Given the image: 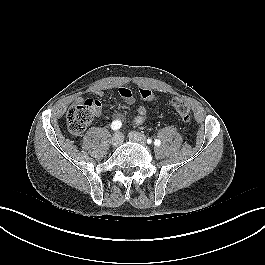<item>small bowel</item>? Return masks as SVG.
<instances>
[{
  "label": "small bowel",
  "instance_id": "small-bowel-1",
  "mask_svg": "<svg viewBox=\"0 0 265 265\" xmlns=\"http://www.w3.org/2000/svg\"><path fill=\"white\" fill-rule=\"evenodd\" d=\"M98 94L101 95L102 92H98ZM119 94H120L121 98L124 100V102L127 105L134 104L135 97H134V95H133V93H132V91L130 89L122 87V88L119 89ZM146 113H147V110H146L145 106H142V105L138 106L137 110H136V115H135V117L133 119L134 124L141 125L145 121ZM114 118L116 120H118V121H121V120L124 119V114L120 113V112L116 113L114 115ZM116 120H114V121H116Z\"/></svg>",
  "mask_w": 265,
  "mask_h": 265
}]
</instances>
